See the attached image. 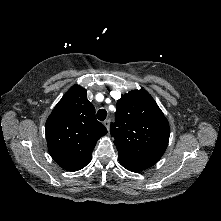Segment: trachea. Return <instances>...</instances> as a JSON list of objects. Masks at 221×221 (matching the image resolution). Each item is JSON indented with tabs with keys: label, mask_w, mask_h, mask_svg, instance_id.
<instances>
[{
	"label": "trachea",
	"mask_w": 221,
	"mask_h": 221,
	"mask_svg": "<svg viewBox=\"0 0 221 221\" xmlns=\"http://www.w3.org/2000/svg\"><path fill=\"white\" fill-rule=\"evenodd\" d=\"M106 116H107V111L105 109L98 110L97 112L98 120L103 121L106 119Z\"/></svg>",
	"instance_id": "trachea-1"
}]
</instances>
